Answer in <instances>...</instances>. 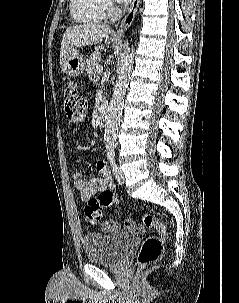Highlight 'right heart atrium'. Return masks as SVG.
Instances as JSON below:
<instances>
[{"mask_svg": "<svg viewBox=\"0 0 239 303\" xmlns=\"http://www.w3.org/2000/svg\"><path fill=\"white\" fill-rule=\"evenodd\" d=\"M102 9L106 14H112L115 11V6L111 0H101Z\"/></svg>", "mask_w": 239, "mask_h": 303, "instance_id": "right-heart-atrium-1", "label": "right heart atrium"}]
</instances>
